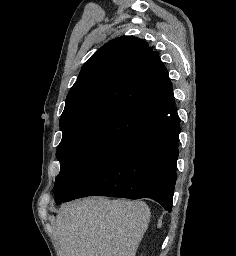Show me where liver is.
Instances as JSON below:
<instances>
[{"label":"liver","mask_w":236,"mask_h":256,"mask_svg":"<svg viewBox=\"0 0 236 256\" xmlns=\"http://www.w3.org/2000/svg\"><path fill=\"white\" fill-rule=\"evenodd\" d=\"M144 202L83 198L63 204L56 216L58 256H136L148 230Z\"/></svg>","instance_id":"liver-1"}]
</instances>
